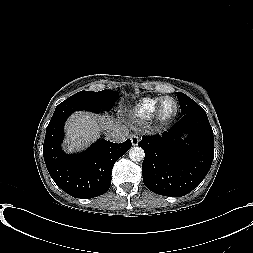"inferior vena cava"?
Segmentation results:
<instances>
[{
  "instance_id": "inferior-vena-cava-1",
  "label": "inferior vena cava",
  "mask_w": 253,
  "mask_h": 253,
  "mask_svg": "<svg viewBox=\"0 0 253 253\" xmlns=\"http://www.w3.org/2000/svg\"><path fill=\"white\" fill-rule=\"evenodd\" d=\"M129 135V130L125 126H115L109 129L106 133V140L120 143L124 142Z\"/></svg>"
}]
</instances>
